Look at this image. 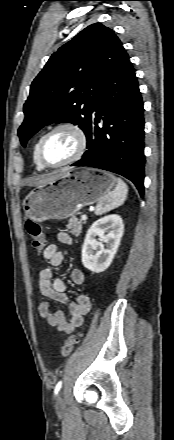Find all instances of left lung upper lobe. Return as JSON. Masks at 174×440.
<instances>
[{"label": "left lung upper lobe", "mask_w": 174, "mask_h": 440, "mask_svg": "<svg viewBox=\"0 0 174 440\" xmlns=\"http://www.w3.org/2000/svg\"><path fill=\"white\" fill-rule=\"evenodd\" d=\"M124 48L113 30L95 23L55 52L31 84L18 130L21 144L44 125L69 122L87 133L92 104Z\"/></svg>", "instance_id": "obj_1"}]
</instances>
